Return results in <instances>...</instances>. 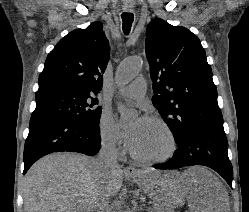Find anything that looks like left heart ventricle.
Instances as JSON below:
<instances>
[{"label":"left heart ventricle","instance_id":"b2bd125f","mask_svg":"<svg viewBox=\"0 0 249 212\" xmlns=\"http://www.w3.org/2000/svg\"><path fill=\"white\" fill-rule=\"evenodd\" d=\"M170 149L171 140L166 131L157 123L142 120L133 152L144 158H157L167 155Z\"/></svg>","mask_w":249,"mask_h":212}]
</instances>
